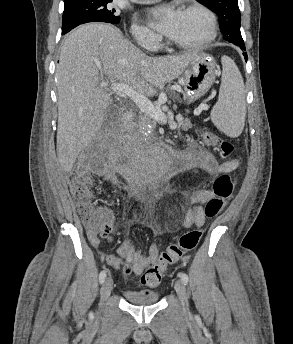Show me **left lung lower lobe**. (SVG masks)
Masks as SVG:
<instances>
[{
	"instance_id": "1",
	"label": "left lung lower lobe",
	"mask_w": 293,
	"mask_h": 344,
	"mask_svg": "<svg viewBox=\"0 0 293 344\" xmlns=\"http://www.w3.org/2000/svg\"><path fill=\"white\" fill-rule=\"evenodd\" d=\"M240 48H241L242 50H245V45H241ZM243 55H244L245 59H247V54H246V53H243Z\"/></svg>"
}]
</instances>
